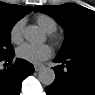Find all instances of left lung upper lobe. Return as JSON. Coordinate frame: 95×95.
<instances>
[{
	"instance_id": "1",
	"label": "left lung upper lobe",
	"mask_w": 95,
	"mask_h": 95,
	"mask_svg": "<svg viewBox=\"0 0 95 95\" xmlns=\"http://www.w3.org/2000/svg\"><path fill=\"white\" fill-rule=\"evenodd\" d=\"M34 10L50 15L64 27L66 40L58 56L71 57L95 52L94 11L72 3L35 6Z\"/></svg>"
}]
</instances>
